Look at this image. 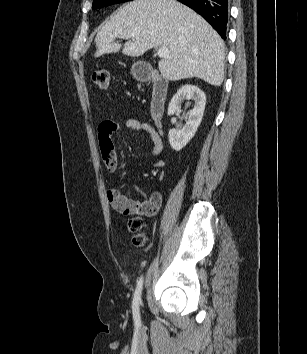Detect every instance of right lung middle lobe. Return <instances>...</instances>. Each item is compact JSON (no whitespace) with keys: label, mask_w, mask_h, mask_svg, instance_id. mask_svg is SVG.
<instances>
[{"label":"right lung middle lobe","mask_w":307,"mask_h":354,"mask_svg":"<svg viewBox=\"0 0 307 354\" xmlns=\"http://www.w3.org/2000/svg\"><path fill=\"white\" fill-rule=\"evenodd\" d=\"M131 0H93L92 9L101 8L103 6H108L120 2H126Z\"/></svg>","instance_id":"right-lung-middle-lobe-1"}]
</instances>
